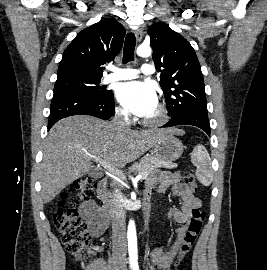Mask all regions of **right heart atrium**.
<instances>
[{
  "label": "right heart atrium",
  "instance_id": "d8ad5b80",
  "mask_svg": "<svg viewBox=\"0 0 267 270\" xmlns=\"http://www.w3.org/2000/svg\"><path fill=\"white\" fill-rule=\"evenodd\" d=\"M117 114L124 119H126L128 117V113L121 108L117 109Z\"/></svg>",
  "mask_w": 267,
  "mask_h": 270
}]
</instances>
